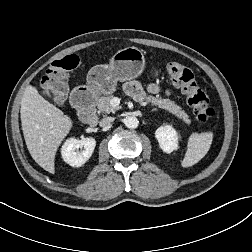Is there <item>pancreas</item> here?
<instances>
[{
  "instance_id": "1",
  "label": "pancreas",
  "mask_w": 252,
  "mask_h": 252,
  "mask_svg": "<svg viewBox=\"0 0 252 252\" xmlns=\"http://www.w3.org/2000/svg\"><path fill=\"white\" fill-rule=\"evenodd\" d=\"M112 98L113 95H108V96H102L97 99L96 105L98 107L99 112L113 113L118 109V107H114L111 104ZM146 102L151 103L152 106H157L158 108L169 111L186 124L190 123L189 116L181 109L180 106H178L174 101H171L168 98L154 97L149 95L146 98Z\"/></svg>"
}]
</instances>
